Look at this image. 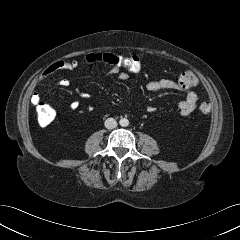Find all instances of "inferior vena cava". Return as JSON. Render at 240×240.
<instances>
[{
    "mask_svg": "<svg viewBox=\"0 0 240 240\" xmlns=\"http://www.w3.org/2000/svg\"><path fill=\"white\" fill-rule=\"evenodd\" d=\"M105 127L107 129H114L117 127V121L114 118H108L105 121Z\"/></svg>",
    "mask_w": 240,
    "mask_h": 240,
    "instance_id": "602c4592",
    "label": "inferior vena cava"
}]
</instances>
